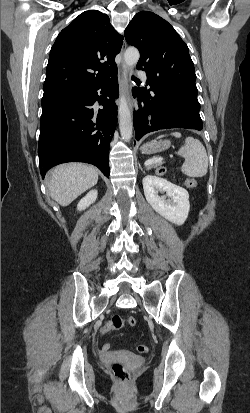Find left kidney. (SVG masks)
Instances as JSON below:
<instances>
[{
	"mask_svg": "<svg viewBox=\"0 0 250 413\" xmlns=\"http://www.w3.org/2000/svg\"><path fill=\"white\" fill-rule=\"evenodd\" d=\"M142 183L146 200L158 214L176 225L184 224L190 210L189 194L184 188L152 175L145 176ZM159 192L166 195L160 196Z\"/></svg>",
	"mask_w": 250,
	"mask_h": 413,
	"instance_id": "1",
	"label": "left kidney"
}]
</instances>
